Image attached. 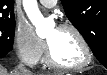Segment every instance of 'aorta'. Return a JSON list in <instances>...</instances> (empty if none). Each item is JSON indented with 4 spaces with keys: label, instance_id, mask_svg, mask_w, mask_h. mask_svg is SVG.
Instances as JSON below:
<instances>
[{
    "label": "aorta",
    "instance_id": "1",
    "mask_svg": "<svg viewBox=\"0 0 107 75\" xmlns=\"http://www.w3.org/2000/svg\"><path fill=\"white\" fill-rule=\"evenodd\" d=\"M23 7L29 20L35 26L37 35L44 36L48 32L49 25L41 14L37 1L23 0Z\"/></svg>",
    "mask_w": 107,
    "mask_h": 75
}]
</instances>
